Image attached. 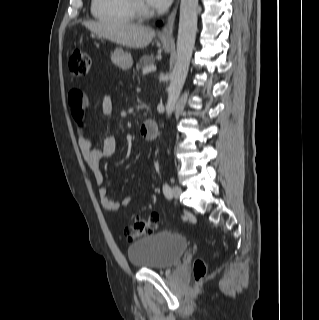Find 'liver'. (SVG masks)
Here are the masks:
<instances>
[{
	"label": "liver",
	"instance_id": "6515ba94",
	"mask_svg": "<svg viewBox=\"0 0 319 320\" xmlns=\"http://www.w3.org/2000/svg\"><path fill=\"white\" fill-rule=\"evenodd\" d=\"M83 25L99 36L130 48L147 47L155 36L153 29L128 22L85 21Z\"/></svg>",
	"mask_w": 319,
	"mask_h": 320
}]
</instances>
